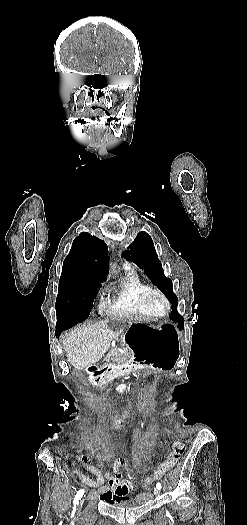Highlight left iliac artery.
<instances>
[{
	"label": "left iliac artery",
	"mask_w": 247,
	"mask_h": 525,
	"mask_svg": "<svg viewBox=\"0 0 247 525\" xmlns=\"http://www.w3.org/2000/svg\"><path fill=\"white\" fill-rule=\"evenodd\" d=\"M156 488L160 490V489H161V483L158 482V483L156 484Z\"/></svg>",
	"instance_id": "1"
}]
</instances>
